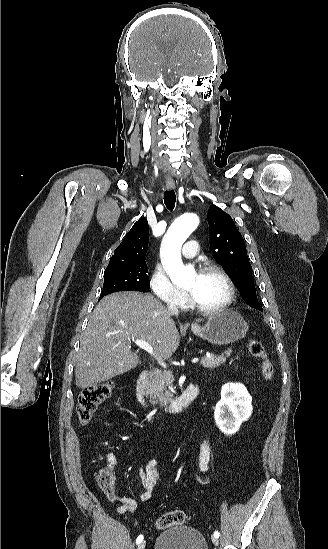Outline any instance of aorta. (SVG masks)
<instances>
[{
    "label": "aorta",
    "instance_id": "762f6f07",
    "mask_svg": "<svg viewBox=\"0 0 328 549\" xmlns=\"http://www.w3.org/2000/svg\"><path fill=\"white\" fill-rule=\"evenodd\" d=\"M198 224L197 215L184 214L171 224L163 239L164 267L172 283L179 287L188 285L195 277V270L182 262L181 247Z\"/></svg>",
    "mask_w": 328,
    "mask_h": 549
}]
</instances>
